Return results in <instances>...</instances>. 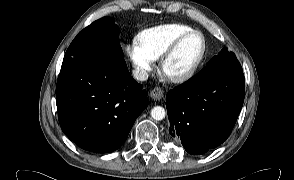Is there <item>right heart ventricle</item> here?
<instances>
[{
  "label": "right heart ventricle",
  "mask_w": 294,
  "mask_h": 180,
  "mask_svg": "<svg viewBox=\"0 0 294 180\" xmlns=\"http://www.w3.org/2000/svg\"><path fill=\"white\" fill-rule=\"evenodd\" d=\"M191 30L193 28L181 23L162 24L142 29L136 39L151 58L158 60L177 38Z\"/></svg>",
  "instance_id": "e07e8e85"
}]
</instances>
